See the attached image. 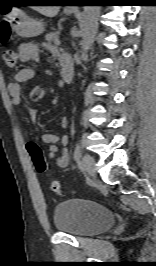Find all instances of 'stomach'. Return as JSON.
Instances as JSON below:
<instances>
[{
    "label": "stomach",
    "instance_id": "obj_1",
    "mask_svg": "<svg viewBox=\"0 0 156 266\" xmlns=\"http://www.w3.org/2000/svg\"><path fill=\"white\" fill-rule=\"evenodd\" d=\"M11 22L12 29L23 37H34L44 31L42 22L31 20L19 12L11 17Z\"/></svg>",
    "mask_w": 156,
    "mask_h": 266
}]
</instances>
